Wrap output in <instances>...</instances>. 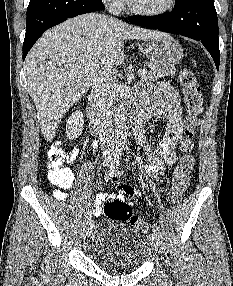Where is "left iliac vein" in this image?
Segmentation results:
<instances>
[{"instance_id":"left-iliac-vein-1","label":"left iliac vein","mask_w":233,"mask_h":286,"mask_svg":"<svg viewBox=\"0 0 233 286\" xmlns=\"http://www.w3.org/2000/svg\"><path fill=\"white\" fill-rule=\"evenodd\" d=\"M150 245L154 250L159 248V237L154 232L149 235Z\"/></svg>"}]
</instances>
